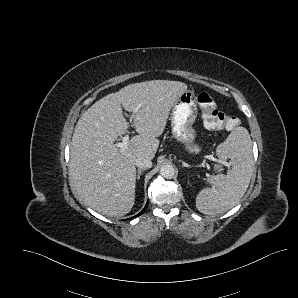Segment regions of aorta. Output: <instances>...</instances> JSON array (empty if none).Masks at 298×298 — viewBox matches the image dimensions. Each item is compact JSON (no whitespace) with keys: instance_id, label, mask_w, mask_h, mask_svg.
Wrapping results in <instances>:
<instances>
[{"instance_id":"1","label":"aorta","mask_w":298,"mask_h":298,"mask_svg":"<svg viewBox=\"0 0 298 298\" xmlns=\"http://www.w3.org/2000/svg\"><path fill=\"white\" fill-rule=\"evenodd\" d=\"M159 174L164 179H172L175 175V168L171 164H163L160 167Z\"/></svg>"}]
</instances>
